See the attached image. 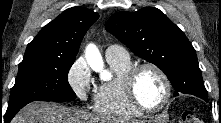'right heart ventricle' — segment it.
Wrapping results in <instances>:
<instances>
[{
    "label": "right heart ventricle",
    "instance_id": "1",
    "mask_svg": "<svg viewBox=\"0 0 221 123\" xmlns=\"http://www.w3.org/2000/svg\"><path fill=\"white\" fill-rule=\"evenodd\" d=\"M115 76L112 80L99 85L94 96V111L110 119H132L141 113L134 109L127 101L122 88L123 75L133 66L128 60H108Z\"/></svg>",
    "mask_w": 221,
    "mask_h": 123
}]
</instances>
